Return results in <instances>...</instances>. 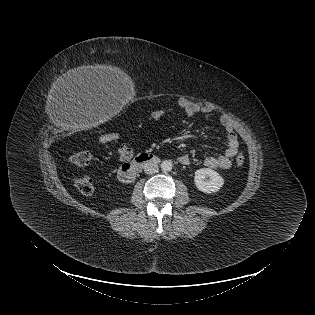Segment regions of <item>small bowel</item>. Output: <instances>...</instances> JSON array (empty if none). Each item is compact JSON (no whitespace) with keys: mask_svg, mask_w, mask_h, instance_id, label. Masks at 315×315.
Masks as SVG:
<instances>
[{"mask_svg":"<svg viewBox=\"0 0 315 315\" xmlns=\"http://www.w3.org/2000/svg\"><path fill=\"white\" fill-rule=\"evenodd\" d=\"M178 106L190 117L209 115L213 112V109L208 106H200L184 98L178 101ZM171 111L172 109L155 110L150 114L149 121L158 122ZM219 122L226 132L227 148L221 155L207 157L204 163L212 169L226 170L231 167L232 159L238 153L239 142L230 117L226 114H221ZM141 126L139 125V127ZM134 150V147L130 143L121 144L117 151L119 159L123 162L129 161L134 154ZM179 162L184 165L189 164L190 158L188 155H182L179 157Z\"/></svg>","mask_w":315,"mask_h":315,"instance_id":"c3829d8e","label":"small bowel"}]
</instances>
